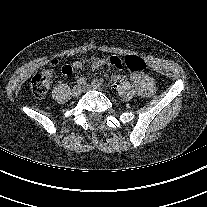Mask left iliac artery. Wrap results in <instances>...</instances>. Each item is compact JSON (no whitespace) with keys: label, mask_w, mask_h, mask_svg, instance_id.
I'll return each mask as SVG.
<instances>
[{"label":"left iliac artery","mask_w":207,"mask_h":207,"mask_svg":"<svg viewBox=\"0 0 207 207\" xmlns=\"http://www.w3.org/2000/svg\"><path fill=\"white\" fill-rule=\"evenodd\" d=\"M92 85L101 87V84H100L97 80H94V81L92 82Z\"/></svg>","instance_id":"1"}]
</instances>
